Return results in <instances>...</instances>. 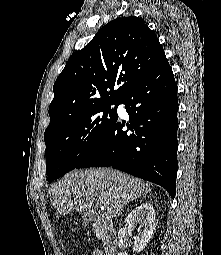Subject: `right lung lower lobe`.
<instances>
[{
	"instance_id": "right-lung-lower-lobe-1",
	"label": "right lung lower lobe",
	"mask_w": 221,
	"mask_h": 255,
	"mask_svg": "<svg viewBox=\"0 0 221 255\" xmlns=\"http://www.w3.org/2000/svg\"><path fill=\"white\" fill-rule=\"evenodd\" d=\"M130 124L119 121L76 168L113 167L159 184L172 198L177 174V85L164 56L119 101ZM129 130H123L124 126Z\"/></svg>"
}]
</instances>
